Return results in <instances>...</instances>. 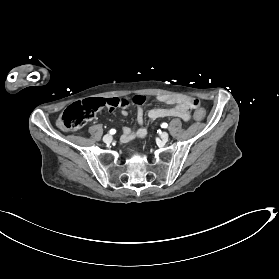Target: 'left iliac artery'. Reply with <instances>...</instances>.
<instances>
[{
  "label": "left iliac artery",
  "instance_id": "left-iliac-artery-1",
  "mask_svg": "<svg viewBox=\"0 0 279 279\" xmlns=\"http://www.w3.org/2000/svg\"><path fill=\"white\" fill-rule=\"evenodd\" d=\"M161 127H162V128H167V127H168V124H167V123H162V124H161Z\"/></svg>",
  "mask_w": 279,
  "mask_h": 279
}]
</instances>
